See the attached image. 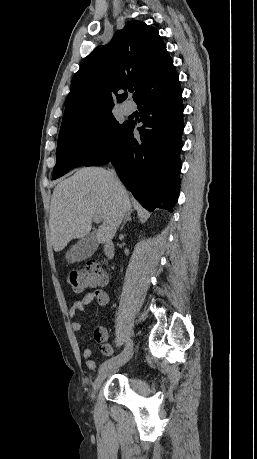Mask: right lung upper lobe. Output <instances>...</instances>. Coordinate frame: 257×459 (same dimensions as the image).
I'll use <instances>...</instances> for the list:
<instances>
[{
  "label": "right lung upper lobe",
  "instance_id": "right-lung-upper-lobe-1",
  "mask_svg": "<svg viewBox=\"0 0 257 459\" xmlns=\"http://www.w3.org/2000/svg\"><path fill=\"white\" fill-rule=\"evenodd\" d=\"M175 73L173 60L157 29L141 21H130L109 44L92 51L74 75L59 134L112 110V92L121 102L126 93L117 92L134 86L136 102Z\"/></svg>",
  "mask_w": 257,
  "mask_h": 459
}]
</instances>
